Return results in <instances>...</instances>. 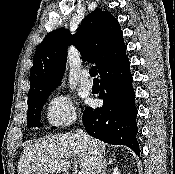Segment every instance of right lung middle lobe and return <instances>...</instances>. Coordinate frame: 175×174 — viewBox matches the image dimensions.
I'll use <instances>...</instances> for the list:
<instances>
[{
    "label": "right lung middle lobe",
    "instance_id": "dd1d6c3e",
    "mask_svg": "<svg viewBox=\"0 0 175 174\" xmlns=\"http://www.w3.org/2000/svg\"><path fill=\"white\" fill-rule=\"evenodd\" d=\"M49 94L36 98L34 100L28 101V119L27 126L30 127H40V117L41 110ZM54 128V127H53Z\"/></svg>",
    "mask_w": 175,
    "mask_h": 174
}]
</instances>
